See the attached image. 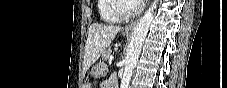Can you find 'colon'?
Instances as JSON below:
<instances>
[{
	"label": "colon",
	"mask_w": 227,
	"mask_h": 88,
	"mask_svg": "<svg viewBox=\"0 0 227 88\" xmlns=\"http://www.w3.org/2000/svg\"><path fill=\"white\" fill-rule=\"evenodd\" d=\"M86 88H90L91 86H90V84H86V86H85Z\"/></svg>",
	"instance_id": "1"
}]
</instances>
